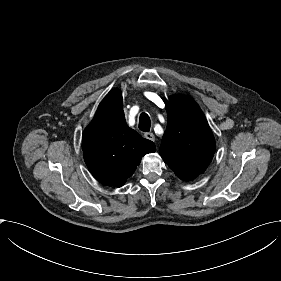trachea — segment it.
Returning a JSON list of instances; mask_svg holds the SVG:
<instances>
[{"label": "trachea", "instance_id": "obj_1", "mask_svg": "<svg viewBox=\"0 0 281 281\" xmlns=\"http://www.w3.org/2000/svg\"><path fill=\"white\" fill-rule=\"evenodd\" d=\"M139 129L143 132L150 131V117L146 113H141L139 117Z\"/></svg>", "mask_w": 281, "mask_h": 281}]
</instances>
